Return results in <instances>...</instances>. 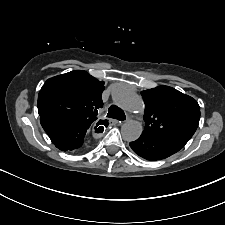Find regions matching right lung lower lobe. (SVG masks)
I'll use <instances>...</instances> for the list:
<instances>
[{
	"label": "right lung lower lobe",
	"instance_id": "1",
	"mask_svg": "<svg viewBox=\"0 0 225 225\" xmlns=\"http://www.w3.org/2000/svg\"><path fill=\"white\" fill-rule=\"evenodd\" d=\"M40 123L52 143L61 151L82 152L86 134L92 127L83 121L56 115H41Z\"/></svg>",
	"mask_w": 225,
	"mask_h": 225
}]
</instances>
